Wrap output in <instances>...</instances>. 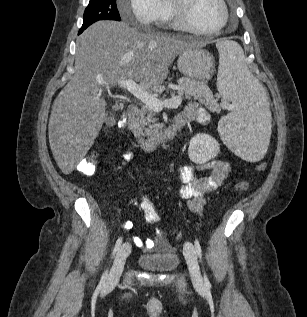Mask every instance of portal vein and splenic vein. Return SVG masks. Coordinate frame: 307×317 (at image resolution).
<instances>
[{
  "instance_id": "obj_1",
  "label": "portal vein and splenic vein",
  "mask_w": 307,
  "mask_h": 317,
  "mask_svg": "<svg viewBox=\"0 0 307 317\" xmlns=\"http://www.w3.org/2000/svg\"><path fill=\"white\" fill-rule=\"evenodd\" d=\"M99 83L101 85L104 84L101 81H99ZM118 85L128 90L131 94H133L136 98H138L154 111H161L163 108H176L182 103L181 95L174 96L164 101L160 100L155 95L149 93L143 87L137 85L133 79L120 80L118 81Z\"/></svg>"
}]
</instances>
